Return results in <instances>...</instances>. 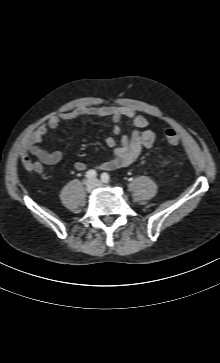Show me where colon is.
Wrapping results in <instances>:
<instances>
[{
	"mask_svg": "<svg viewBox=\"0 0 220 363\" xmlns=\"http://www.w3.org/2000/svg\"><path fill=\"white\" fill-rule=\"evenodd\" d=\"M165 139L169 145L175 146L179 144L180 137L178 133L173 129H168L165 132Z\"/></svg>",
	"mask_w": 220,
	"mask_h": 363,
	"instance_id": "obj_1",
	"label": "colon"
}]
</instances>
